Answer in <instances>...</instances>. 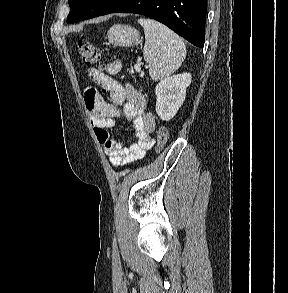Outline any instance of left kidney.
<instances>
[{
    "label": "left kidney",
    "instance_id": "1",
    "mask_svg": "<svg viewBox=\"0 0 288 293\" xmlns=\"http://www.w3.org/2000/svg\"><path fill=\"white\" fill-rule=\"evenodd\" d=\"M191 74L182 73L161 80L155 88L156 112L161 120L172 119L183 104Z\"/></svg>",
    "mask_w": 288,
    "mask_h": 293
}]
</instances>
